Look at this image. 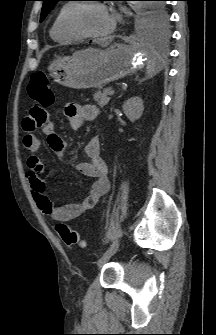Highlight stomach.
I'll return each mask as SVG.
<instances>
[{
    "instance_id": "stomach-1",
    "label": "stomach",
    "mask_w": 216,
    "mask_h": 335,
    "mask_svg": "<svg viewBox=\"0 0 216 335\" xmlns=\"http://www.w3.org/2000/svg\"><path fill=\"white\" fill-rule=\"evenodd\" d=\"M147 54L136 45L114 43L106 50L88 48L54 61L55 82L74 89L102 88L144 67Z\"/></svg>"
}]
</instances>
